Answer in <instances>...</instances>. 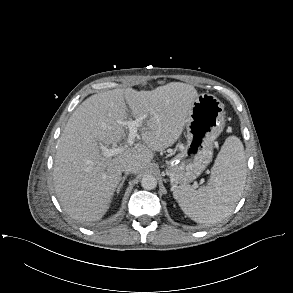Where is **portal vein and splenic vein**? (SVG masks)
I'll return each mask as SVG.
<instances>
[{"mask_svg": "<svg viewBox=\"0 0 293 293\" xmlns=\"http://www.w3.org/2000/svg\"><path fill=\"white\" fill-rule=\"evenodd\" d=\"M146 117H147V115H143V116L137 118L136 120H129V121L123 122V124L126 125L129 130V134H128V138H127L128 145L134 144L135 138L138 137V134H137L138 127L143 126L142 123L146 119ZM122 150H123V147L112 148V149L103 148L102 155L105 157H112V156H116L117 154H119Z\"/></svg>", "mask_w": 293, "mask_h": 293, "instance_id": "18ae733b", "label": "portal vein and splenic vein"}]
</instances>
